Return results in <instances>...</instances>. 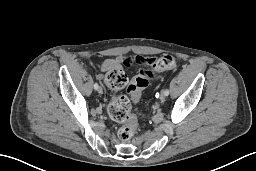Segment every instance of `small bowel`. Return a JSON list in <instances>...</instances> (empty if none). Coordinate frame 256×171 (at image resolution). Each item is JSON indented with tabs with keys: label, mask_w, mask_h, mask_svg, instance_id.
Masks as SVG:
<instances>
[{
	"label": "small bowel",
	"mask_w": 256,
	"mask_h": 171,
	"mask_svg": "<svg viewBox=\"0 0 256 171\" xmlns=\"http://www.w3.org/2000/svg\"><path fill=\"white\" fill-rule=\"evenodd\" d=\"M152 61V57H143L140 55H127L122 58L106 59L101 65V70L107 74L109 71L113 69H122L124 67H129L132 64L151 65ZM141 75L146 78V76L152 77L153 73L150 70H142ZM101 77V75H98V78Z\"/></svg>",
	"instance_id": "small-bowel-1"
}]
</instances>
